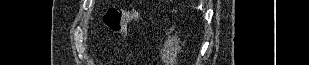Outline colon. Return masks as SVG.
I'll return each mask as SVG.
<instances>
[{
	"instance_id": "1",
	"label": "colon",
	"mask_w": 309,
	"mask_h": 65,
	"mask_svg": "<svg viewBox=\"0 0 309 65\" xmlns=\"http://www.w3.org/2000/svg\"><path fill=\"white\" fill-rule=\"evenodd\" d=\"M137 16L138 13L135 8H112L103 15V23L112 33H120L124 31L130 23L135 21ZM131 61L132 57L128 55V62Z\"/></svg>"
}]
</instances>
